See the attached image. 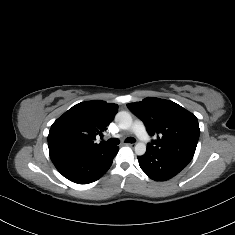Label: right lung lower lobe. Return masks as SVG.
Masks as SVG:
<instances>
[{"label":"right lung lower lobe","mask_w":235,"mask_h":235,"mask_svg":"<svg viewBox=\"0 0 235 235\" xmlns=\"http://www.w3.org/2000/svg\"><path fill=\"white\" fill-rule=\"evenodd\" d=\"M118 150V146H112L96 151L49 150V154L53 164L65 178L78 184H88L108 171Z\"/></svg>","instance_id":"right-lung-lower-lobe-1"}]
</instances>
